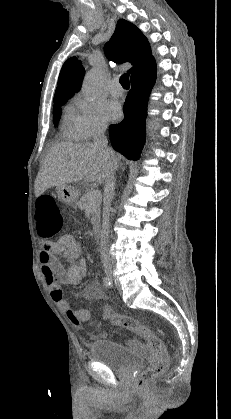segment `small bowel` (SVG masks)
<instances>
[{"label":"small bowel","mask_w":231,"mask_h":419,"mask_svg":"<svg viewBox=\"0 0 231 419\" xmlns=\"http://www.w3.org/2000/svg\"><path fill=\"white\" fill-rule=\"evenodd\" d=\"M82 251L80 242L72 235L65 234L52 242H43L40 250L42 275L50 290L51 297L56 306L67 312L70 304L64 298L61 285L78 286L85 278L88 264L85 259L79 258ZM58 255H63L68 267L59 261ZM83 297L93 300H102L105 297L98 280H93L86 288ZM81 321H88L91 317L87 309H72ZM131 342H133L131 340Z\"/></svg>","instance_id":"c3829d8e"}]
</instances>
